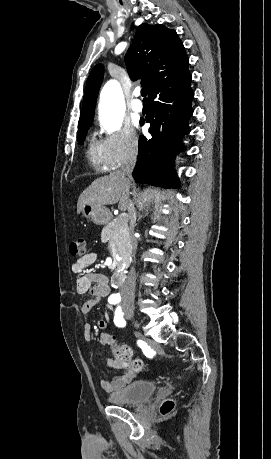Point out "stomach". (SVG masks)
Wrapping results in <instances>:
<instances>
[{
	"mask_svg": "<svg viewBox=\"0 0 271 459\" xmlns=\"http://www.w3.org/2000/svg\"><path fill=\"white\" fill-rule=\"evenodd\" d=\"M81 212L85 218H89L94 224H109L112 220L111 212L100 204H84Z\"/></svg>",
	"mask_w": 271,
	"mask_h": 459,
	"instance_id": "stomach-1",
	"label": "stomach"
}]
</instances>
